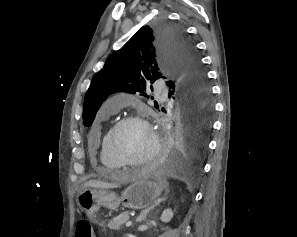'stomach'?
<instances>
[{
  "label": "stomach",
  "instance_id": "0dacf381",
  "mask_svg": "<svg viewBox=\"0 0 297 237\" xmlns=\"http://www.w3.org/2000/svg\"><path fill=\"white\" fill-rule=\"evenodd\" d=\"M164 188L160 182L144 179L130 184L121 196L104 189L84 188L78 195L77 203L88 215H93L101 206L116 210L121 204L125 208L143 209L152 205Z\"/></svg>",
  "mask_w": 297,
  "mask_h": 237
}]
</instances>
